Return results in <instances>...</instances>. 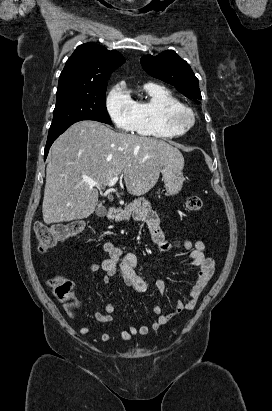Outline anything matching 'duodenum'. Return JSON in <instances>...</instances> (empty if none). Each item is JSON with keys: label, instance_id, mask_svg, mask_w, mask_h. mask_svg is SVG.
Instances as JSON below:
<instances>
[{"label": "duodenum", "instance_id": "1", "mask_svg": "<svg viewBox=\"0 0 272 411\" xmlns=\"http://www.w3.org/2000/svg\"><path fill=\"white\" fill-rule=\"evenodd\" d=\"M119 212H120V209H119V208H117V207H110V208L107 209L106 217H107L108 219H114V218L118 215Z\"/></svg>", "mask_w": 272, "mask_h": 411}]
</instances>
